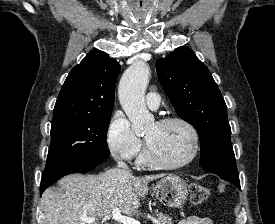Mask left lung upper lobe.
I'll return each mask as SVG.
<instances>
[{"instance_id": "5c2ea615", "label": "left lung upper lobe", "mask_w": 275, "mask_h": 224, "mask_svg": "<svg viewBox=\"0 0 275 224\" xmlns=\"http://www.w3.org/2000/svg\"><path fill=\"white\" fill-rule=\"evenodd\" d=\"M156 67L175 111L199 133L201 168L224 180L239 179L227 107L208 68L184 46L159 59Z\"/></svg>"}]
</instances>
